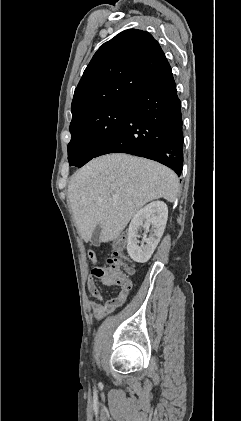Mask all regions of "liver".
<instances>
[{
  "label": "liver",
  "mask_w": 241,
  "mask_h": 421,
  "mask_svg": "<svg viewBox=\"0 0 241 421\" xmlns=\"http://www.w3.org/2000/svg\"><path fill=\"white\" fill-rule=\"evenodd\" d=\"M178 185L177 175L166 166L116 153L95 158L76 171L68 185V200L81 238L88 242L99 224L100 241L109 242L146 203L159 198L174 202Z\"/></svg>",
  "instance_id": "1"
}]
</instances>
